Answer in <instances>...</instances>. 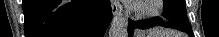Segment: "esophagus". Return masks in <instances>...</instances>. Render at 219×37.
<instances>
[{
	"mask_svg": "<svg viewBox=\"0 0 219 37\" xmlns=\"http://www.w3.org/2000/svg\"><path fill=\"white\" fill-rule=\"evenodd\" d=\"M111 7L113 16L122 10L121 4L116 0H111Z\"/></svg>",
	"mask_w": 219,
	"mask_h": 37,
	"instance_id": "34e87169",
	"label": "esophagus"
}]
</instances>
